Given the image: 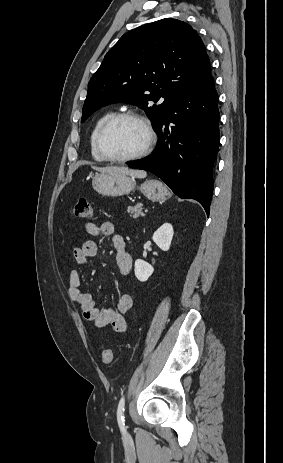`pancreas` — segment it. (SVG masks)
Returning <instances> with one entry per match:
<instances>
[{
  "label": "pancreas",
  "mask_w": 283,
  "mask_h": 463,
  "mask_svg": "<svg viewBox=\"0 0 283 463\" xmlns=\"http://www.w3.org/2000/svg\"><path fill=\"white\" fill-rule=\"evenodd\" d=\"M142 209H143V204L142 203H138L134 206H129L127 208V212L130 214V216L132 218H139L141 216H144L143 212H142Z\"/></svg>",
  "instance_id": "cf45deb5"
}]
</instances>
